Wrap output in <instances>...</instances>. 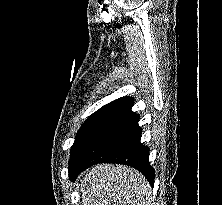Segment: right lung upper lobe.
I'll list each match as a JSON object with an SVG mask.
<instances>
[{"label":"right lung upper lobe","instance_id":"right-lung-upper-lobe-1","mask_svg":"<svg viewBox=\"0 0 222 205\" xmlns=\"http://www.w3.org/2000/svg\"><path fill=\"white\" fill-rule=\"evenodd\" d=\"M128 98H130V97H122L117 100H114V101L110 102L109 104H106L103 107H101L97 112L108 113V112L112 111L113 109H115L116 107H118L122 102H124Z\"/></svg>","mask_w":222,"mask_h":205}]
</instances>
